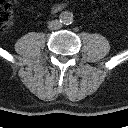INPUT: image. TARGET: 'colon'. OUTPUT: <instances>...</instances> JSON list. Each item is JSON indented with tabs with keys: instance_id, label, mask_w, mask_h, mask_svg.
Wrapping results in <instances>:
<instances>
[{
	"instance_id": "1",
	"label": "colon",
	"mask_w": 128,
	"mask_h": 128,
	"mask_svg": "<svg viewBox=\"0 0 128 128\" xmlns=\"http://www.w3.org/2000/svg\"><path fill=\"white\" fill-rule=\"evenodd\" d=\"M13 12L7 0H0V30H8L12 25Z\"/></svg>"
}]
</instances>
